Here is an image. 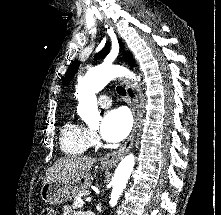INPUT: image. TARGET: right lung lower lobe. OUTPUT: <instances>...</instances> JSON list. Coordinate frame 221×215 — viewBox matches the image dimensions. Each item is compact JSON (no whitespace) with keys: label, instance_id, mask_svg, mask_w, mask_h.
<instances>
[{"label":"right lung lower lobe","instance_id":"98d812e1","mask_svg":"<svg viewBox=\"0 0 221 215\" xmlns=\"http://www.w3.org/2000/svg\"><path fill=\"white\" fill-rule=\"evenodd\" d=\"M129 94H130V96H133V93H131V90H129Z\"/></svg>","mask_w":221,"mask_h":215}]
</instances>
